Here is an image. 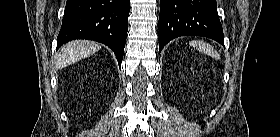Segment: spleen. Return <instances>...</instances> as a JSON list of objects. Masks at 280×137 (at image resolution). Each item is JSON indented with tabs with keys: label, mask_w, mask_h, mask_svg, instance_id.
<instances>
[{
	"label": "spleen",
	"mask_w": 280,
	"mask_h": 137,
	"mask_svg": "<svg viewBox=\"0 0 280 137\" xmlns=\"http://www.w3.org/2000/svg\"><path fill=\"white\" fill-rule=\"evenodd\" d=\"M190 45L195 47L199 51H201L207 55H210L211 57H214L217 59L219 58V54L217 53V51L206 42L194 40V41L190 42Z\"/></svg>",
	"instance_id": "3e777b00"
}]
</instances>
